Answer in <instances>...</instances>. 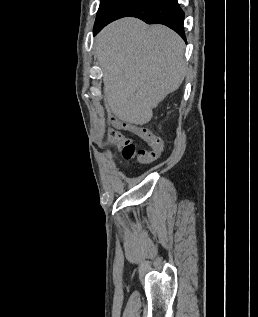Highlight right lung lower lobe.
Listing matches in <instances>:
<instances>
[{
  "label": "right lung lower lobe",
  "mask_w": 258,
  "mask_h": 317,
  "mask_svg": "<svg viewBox=\"0 0 258 317\" xmlns=\"http://www.w3.org/2000/svg\"><path fill=\"white\" fill-rule=\"evenodd\" d=\"M137 17L148 24H163L176 31L185 41L184 12L177 0H101L93 34L122 17Z\"/></svg>",
  "instance_id": "1"
}]
</instances>
